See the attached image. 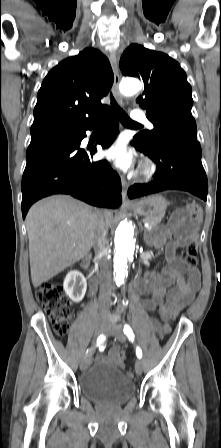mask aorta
<instances>
[{
	"label": "aorta",
	"mask_w": 221,
	"mask_h": 448,
	"mask_svg": "<svg viewBox=\"0 0 221 448\" xmlns=\"http://www.w3.org/2000/svg\"><path fill=\"white\" fill-rule=\"evenodd\" d=\"M142 84L136 79H126L120 83L123 95L129 96L141 90ZM114 279L117 286L124 284L128 266L133 261L135 251L134 230L127 222H121L115 232Z\"/></svg>",
	"instance_id": "762f6f07"
}]
</instances>
